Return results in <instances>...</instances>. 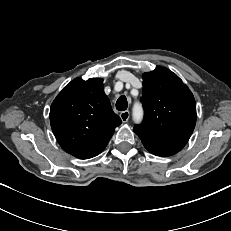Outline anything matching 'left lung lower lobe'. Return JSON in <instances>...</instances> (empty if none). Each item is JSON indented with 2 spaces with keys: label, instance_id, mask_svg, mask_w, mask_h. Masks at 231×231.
I'll use <instances>...</instances> for the list:
<instances>
[{
  "label": "left lung lower lobe",
  "instance_id": "0a47b994",
  "mask_svg": "<svg viewBox=\"0 0 231 231\" xmlns=\"http://www.w3.org/2000/svg\"><path fill=\"white\" fill-rule=\"evenodd\" d=\"M143 145L145 146V148L152 154L157 155V156H162V157H166V156H171L173 154H175L174 152L167 150V149H163L160 148L156 145L150 144L148 142L142 141Z\"/></svg>",
  "mask_w": 231,
  "mask_h": 231
}]
</instances>
